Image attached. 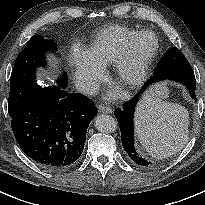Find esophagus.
I'll use <instances>...</instances> for the list:
<instances>
[{"label":"esophagus","mask_w":205,"mask_h":205,"mask_svg":"<svg viewBox=\"0 0 205 205\" xmlns=\"http://www.w3.org/2000/svg\"><path fill=\"white\" fill-rule=\"evenodd\" d=\"M98 111L100 113H107V114L113 113V109L111 107H107V106H103V105H100L98 107Z\"/></svg>","instance_id":"1"}]
</instances>
